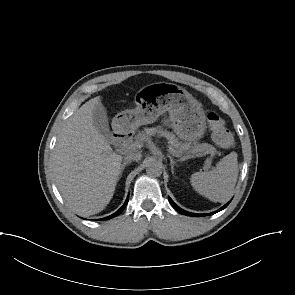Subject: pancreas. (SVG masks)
<instances>
[{"mask_svg": "<svg viewBox=\"0 0 295 295\" xmlns=\"http://www.w3.org/2000/svg\"><path fill=\"white\" fill-rule=\"evenodd\" d=\"M155 135H157L158 137H165L168 140L169 146L172 147L178 154H181L184 150L187 149H190L191 152L205 151L207 153H210L212 156L218 153L216 148L208 143H195L193 146H190L189 144H181L173 133L167 131L166 129H162L159 126L145 128L144 131L139 133L136 138L139 140H144L149 136Z\"/></svg>", "mask_w": 295, "mask_h": 295, "instance_id": "pancreas-1", "label": "pancreas"}]
</instances>
